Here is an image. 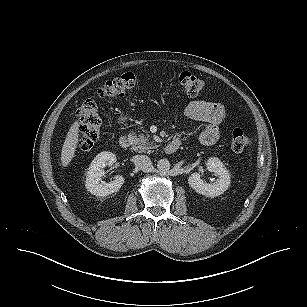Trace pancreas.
Here are the masks:
<instances>
[{
	"label": "pancreas",
	"mask_w": 307,
	"mask_h": 307,
	"mask_svg": "<svg viewBox=\"0 0 307 307\" xmlns=\"http://www.w3.org/2000/svg\"><path fill=\"white\" fill-rule=\"evenodd\" d=\"M130 137H134V147L133 150L143 153H151L158 146L149 139V136H145L144 134H139L138 136L134 134H130Z\"/></svg>",
	"instance_id": "obj_1"
}]
</instances>
